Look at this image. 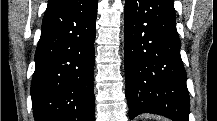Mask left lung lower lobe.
Segmentation results:
<instances>
[{
    "label": "left lung lower lobe",
    "mask_w": 217,
    "mask_h": 121,
    "mask_svg": "<svg viewBox=\"0 0 217 121\" xmlns=\"http://www.w3.org/2000/svg\"><path fill=\"white\" fill-rule=\"evenodd\" d=\"M125 76L129 118L150 112L188 121L186 72L173 0H126Z\"/></svg>",
    "instance_id": "1"
}]
</instances>
